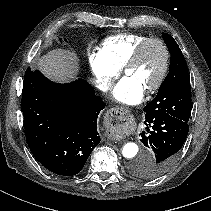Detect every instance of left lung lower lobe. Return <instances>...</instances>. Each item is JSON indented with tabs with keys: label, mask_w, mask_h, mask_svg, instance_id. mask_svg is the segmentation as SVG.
I'll return each mask as SVG.
<instances>
[{
	"label": "left lung lower lobe",
	"mask_w": 211,
	"mask_h": 211,
	"mask_svg": "<svg viewBox=\"0 0 211 211\" xmlns=\"http://www.w3.org/2000/svg\"><path fill=\"white\" fill-rule=\"evenodd\" d=\"M147 132L141 142L151 150L152 159L134 163L141 177L152 179L166 172L175 162L189 131L187 122L170 115L146 117Z\"/></svg>",
	"instance_id": "1"
}]
</instances>
